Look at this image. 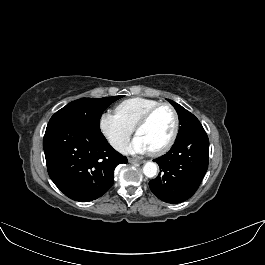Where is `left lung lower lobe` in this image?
Returning <instances> with one entry per match:
<instances>
[{
    "instance_id": "obj_1",
    "label": "left lung lower lobe",
    "mask_w": 265,
    "mask_h": 265,
    "mask_svg": "<svg viewBox=\"0 0 265 265\" xmlns=\"http://www.w3.org/2000/svg\"><path fill=\"white\" fill-rule=\"evenodd\" d=\"M159 175L149 182L153 194L167 203H180L194 195L209 161V139L205 130L176 140L163 156L154 159Z\"/></svg>"
}]
</instances>
